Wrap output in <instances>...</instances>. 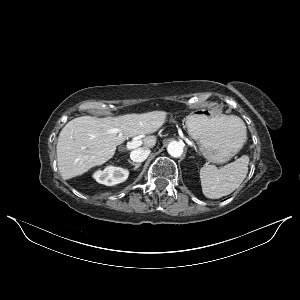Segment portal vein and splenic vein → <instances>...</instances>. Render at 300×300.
Listing matches in <instances>:
<instances>
[{
    "label": "portal vein and splenic vein",
    "instance_id": "portal-vein-and-splenic-vein-1",
    "mask_svg": "<svg viewBox=\"0 0 300 300\" xmlns=\"http://www.w3.org/2000/svg\"><path fill=\"white\" fill-rule=\"evenodd\" d=\"M142 145V140H134L131 142H127L126 149L132 150Z\"/></svg>",
    "mask_w": 300,
    "mask_h": 300
}]
</instances>
